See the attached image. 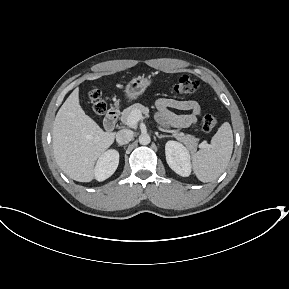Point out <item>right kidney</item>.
<instances>
[{
	"mask_svg": "<svg viewBox=\"0 0 289 289\" xmlns=\"http://www.w3.org/2000/svg\"><path fill=\"white\" fill-rule=\"evenodd\" d=\"M119 164V153L116 150L104 152L97 160L94 176L98 181H104L109 178L117 169Z\"/></svg>",
	"mask_w": 289,
	"mask_h": 289,
	"instance_id": "right-kidney-1",
	"label": "right kidney"
}]
</instances>
